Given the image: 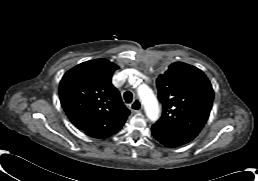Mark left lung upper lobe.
I'll return each instance as SVG.
<instances>
[{
  "label": "left lung upper lobe",
  "mask_w": 258,
  "mask_h": 181,
  "mask_svg": "<svg viewBox=\"0 0 258 181\" xmlns=\"http://www.w3.org/2000/svg\"><path fill=\"white\" fill-rule=\"evenodd\" d=\"M156 83L163 113L155 124L196 137L209 117L214 98L206 75L192 65L175 62Z\"/></svg>",
  "instance_id": "obj_1"
}]
</instances>
